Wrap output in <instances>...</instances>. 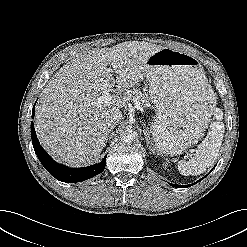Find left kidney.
Here are the masks:
<instances>
[{
	"label": "left kidney",
	"mask_w": 247,
	"mask_h": 247,
	"mask_svg": "<svg viewBox=\"0 0 247 247\" xmlns=\"http://www.w3.org/2000/svg\"><path fill=\"white\" fill-rule=\"evenodd\" d=\"M163 166H164V164H163ZM166 166H167V165L165 164V169H166Z\"/></svg>",
	"instance_id": "1"
}]
</instances>
